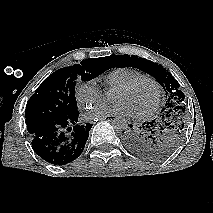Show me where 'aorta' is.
<instances>
[{
    "label": "aorta",
    "instance_id": "1",
    "mask_svg": "<svg viewBox=\"0 0 213 213\" xmlns=\"http://www.w3.org/2000/svg\"><path fill=\"white\" fill-rule=\"evenodd\" d=\"M112 126L116 132H122L127 130L128 123L125 118L117 117L112 121Z\"/></svg>",
    "mask_w": 213,
    "mask_h": 213
}]
</instances>
